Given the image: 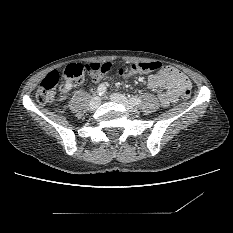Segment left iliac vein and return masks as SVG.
<instances>
[{
    "label": "left iliac vein",
    "mask_w": 233,
    "mask_h": 233,
    "mask_svg": "<svg viewBox=\"0 0 233 233\" xmlns=\"http://www.w3.org/2000/svg\"><path fill=\"white\" fill-rule=\"evenodd\" d=\"M111 100L117 103H121L122 105L125 106V108L132 112L135 110V107L129 102V100L122 94L119 93H114L111 95Z\"/></svg>",
    "instance_id": "left-iliac-vein-1"
}]
</instances>
